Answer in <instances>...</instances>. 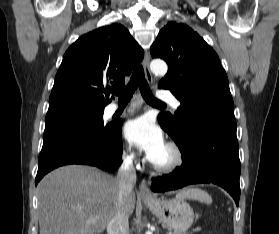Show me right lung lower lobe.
<instances>
[{
	"mask_svg": "<svg viewBox=\"0 0 279 234\" xmlns=\"http://www.w3.org/2000/svg\"><path fill=\"white\" fill-rule=\"evenodd\" d=\"M122 123H112L107 132L66 128L44 133L36 185L51 170L67 164H83L114 171L122 157Z\"/></svg>",
	"mask_w": 279,
	"mask_h": 234,
	"instance_id": "right-lung-lower-lobe-1",
	"label": "right lung lower lobe"
}]
</instances>
